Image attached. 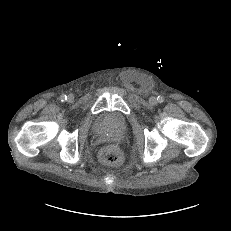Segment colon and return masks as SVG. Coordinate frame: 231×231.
Listing matches in <instances>:
<instances>
[{
    "instance_id": "obj_1",
    "label": "colon",
    "mask_w": 231,
    "mask_h": 231,
    "mask_svg": "<svg viewBox=\"0 0 231 231\" xmlns=\"http://www.w3.org/2000/svg\"><path fill=\"white\" fill-rule=\"evenodd\" d=\"M100 159L106 165H117L121 161V153L114 144H107L100 150Z\"/></svg>"
}]
</instances>
